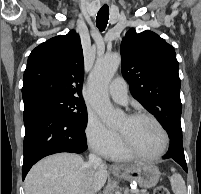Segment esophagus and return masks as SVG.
<instances>
[{"mask_svg":"<svg viewBox=\"0 0 201 194\" xmlns=\"http://www.w3.org/2000/svg\"><path fill=\"white\" fill-rule=\"evenodd\" d=\"M113 170H117V169H120V167L119 166H117V165H112V167H111Z\"/></svg>","mask_w":201,"mask_h":194,"instance_id":"34e87169","label":"esophagus"}]
</instances>
